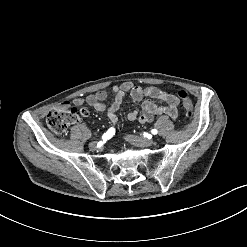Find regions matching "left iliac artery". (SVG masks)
I'll return each mask as SVG.
<instances>
[{
    "instance_id": "44dca946",
    "label": "left iliac artery",
    "mask_w": 247,
    "mask_h": 247,
    "mask_svg": "<svg viewBox=\"0 0 247 247\" xmlns=\"http://www.w3.org/2000/svg\"><path fill=\"white\" fill-rule=\"evenodd\" d=\"M151 133L155 135V134L158 133V131H157V129H152V130H151ZM143 135H144V137H147V138L149 137V134L146 133V132H144ZM149 139H150V138H149Z\"/></svg>"
}]
</instances>
